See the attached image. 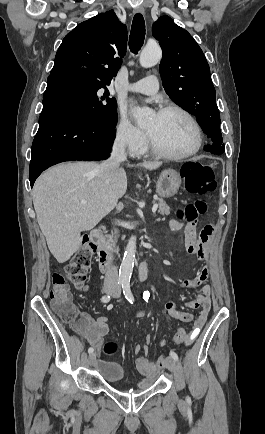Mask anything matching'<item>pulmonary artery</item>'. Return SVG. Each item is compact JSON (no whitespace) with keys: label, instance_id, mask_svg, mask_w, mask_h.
I'll return each mask as SVG.
<instances>
[{"label":"pulmonary artery","instance_id":"pulmonary-artery-1","mask_svg":"<svg viewBox=\"0 0 265 434\" xmlns=\"http://www.w3.org/2000/svg\"><path fill=\"white\" fill-rule=\"evenodd\" d=\"M124 87L131 92H139L143 94L155 93L159 89L158 77L156 75H149L135 84H124Z\"/></svg>","mask_w":265,"mask_h":434}]
</instances>
